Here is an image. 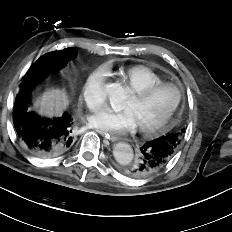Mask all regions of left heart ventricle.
Here are the masks:
<instances>
[{"mask_svg":"<svg viewBox=\"0 0 232 232\" xmlns=\"http://www.w3.org/2000/svg\"><path fill=\"white\" fill-rule=\"evenodd\" d=\"M177 93L173 88H162L143 100L131 94L122 107L134 116L137 126H148L161 120L173 105Z\"/></svg>","mask_w":232,"mask_h":232,"instance_id":"left-heart-ventricle-1","label":"left heart ventricle"}]
</instances>
